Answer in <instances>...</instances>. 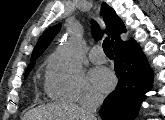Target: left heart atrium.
<instances>
[{
    "label": "left heart atrium",
    "mask_w": 165,
    "mask_h": 120,
    "mask_svg": "<svg viewBox=\"0 0 165 120\" xmlns=\"http://www.w3.org/2000/svg\"><path fill=\"white\" fill-rule=\"evenodd\" d=\"M93 84L101 91L111 90L116 82L114 74L105 67H97L91 72Z\"/></svg>",
    "instance_id": "1"
}]
</instances>
